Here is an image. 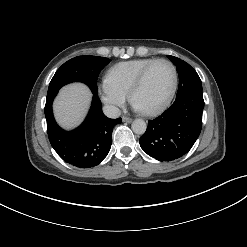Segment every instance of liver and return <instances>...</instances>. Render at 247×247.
<instances>
[{
  "label": "liver",
  "instance_id": "liver-1",
  "mask_svg": "<svg viewBox=\"0 0 247 247\" xmlns=\"http://www.w3.org/2000/svg\"><path fill=\"white\" fill-rule=\"evenodd\" d=\"M91 99L90 90L74 83L63 87L54 103L57 121L65 128H73L83 120Z\"/></svg>",
  "mask_w": 247,
  "mask_h": 247
}]
</instances>
